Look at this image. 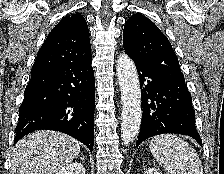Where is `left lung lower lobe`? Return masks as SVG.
<instances>
[{"instance_id":"left-lung-lower-lobe-1","label":"left lung lower lobe","mask_w":224,"mask_h":174,"mask_svg":"<svg viewBox=\"0 0 224 174\" xmlns=\"http://www.w3.org/2000/svg\"><path fill=\"white\" fill-rule=\"evenodd\" d=\"M140 79L142 123L136 143L165 133L184 134L202 140L195 127V111L181 70L166 64L133 60Z\"/></svg>"}]
</instances>
